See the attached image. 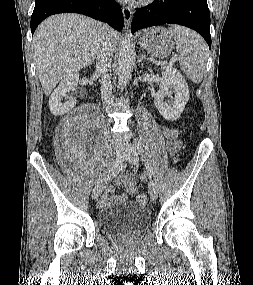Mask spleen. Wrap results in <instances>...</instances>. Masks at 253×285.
Wrapping results in <instances>:
<instances>
[{"instance_id": "obj_1", "label": "spleen", "mask_w": 253, "mask_h": 285, "mask_svg": "<svg viewBox=\"0 0 253 285\" xmlns=\"http://www.w3.org/2000/svg\"><path fill=\"white\" fill-rule=\"evenodd\" d=\"M174 37L176 50L180 54V66L187 77L194 83L203 79L207 61V45L195 31L174 25L169 28Z\"/></svg>"}]
</instances>
